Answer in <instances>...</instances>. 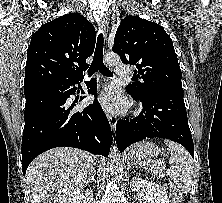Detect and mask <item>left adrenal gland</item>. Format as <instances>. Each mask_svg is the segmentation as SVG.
Returning <instances> with one entry per match:
<instances>
[{"label": "left adrenal gland", "instance_id": "a2214340", "mask_svg": "<svg viewBox=\"0 0 222 203\" xmlns=\"http://www.w3.org/2000/svg\"><path fill=\"white\" fill-rule=\"evenodd\" d=\"M127 164H128V170H130L131 168H136V166H134V164H132L131 162H127Z\"/></svg>", "mask_w": 222, "mask_h": 203}]
</instances>
